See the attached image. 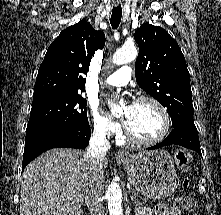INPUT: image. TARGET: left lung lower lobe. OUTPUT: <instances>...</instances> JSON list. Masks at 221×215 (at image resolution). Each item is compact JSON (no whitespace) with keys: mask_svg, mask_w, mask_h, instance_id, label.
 Wrapping results in <instances>:
<instances>
[{"mask_svg":"<svg viewBox=\"0 0 221 215\" xmlns=\"http://www.w3.org/2000/svg\"><path fill=\"white\" fill-rule=\"evenodd\" d=\"M172 144L192 149L201 155L198 131L196 127H176L165 140L148 149H158Z\"/></svg>","mask_w":221,"mask_h":215,"instance_id":"0a47b994","label":"left lung lower lobe"}]
</instances>
